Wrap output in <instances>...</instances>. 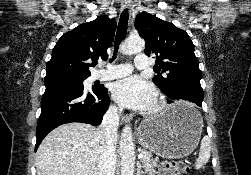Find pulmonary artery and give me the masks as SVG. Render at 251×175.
<instances>
[{
	"label": "pulmonary artery",
	"mask_w": 251,
	"mask_h": 175,
	"mask_svg": "<svg viewBox=\"0 0 251 175\" xmlns=\"http://www.w3.org/2000/svg\"><path fill=\"white\" fill-rule=\"evenodd\" d=\"M136 62H132V67H136L137 70L147 71V67H152V62L145 52H138L135 56ZM132 67L129 63L118 64L110 67L100 79L117 78L122 77L132 72Z\"/></svg>",
	"instance_id": "e3ab8cb5"
}]
</instances>
